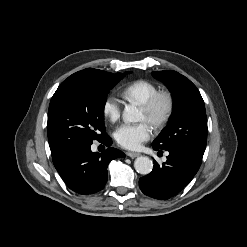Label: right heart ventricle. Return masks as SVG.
<instances>
[{"instance_id":"obj_1","label":"right heart ventricle","mask_w":247,"mask_h":247,"mask_svg":"<svg viewBox=\"0 0 247 247\" xmlns=\"http://www.w3.org/2000/svg\"><path fill=\"white\" fill-rule=\"evenodd\" d=\"M158 91V86L153 82L139 79L129 83L122 90V96L130 102L142 105Z\"/></svg>"}]
</instances>
